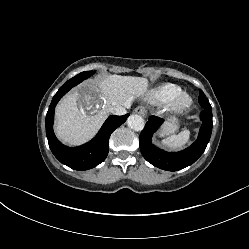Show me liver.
Instances as JSON below:
<instances>
[{"label": "liver", "mask_w": 249, "mask_h": 249, "mask_svg": "<svg viewBox=\"0 0 249 249\" xmlns=\"http://www.w3.org/2000/svg\"><path fill=\"white\" fill-rule=\"evenodd\" d=\"M148 90V81L142 77L110 75L87 87L79 94L78 90L65 96L55 110L56 135L65 143L79 145L88 141L100 128L116 105H130ZM86 100V108L78 107L80 97Z\"/></svg>", "instance_id": "liver-1"}]
</instances>
